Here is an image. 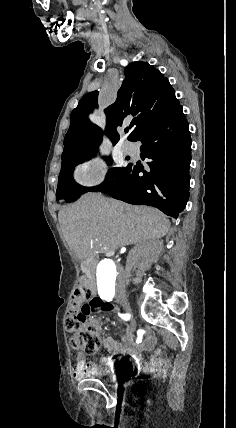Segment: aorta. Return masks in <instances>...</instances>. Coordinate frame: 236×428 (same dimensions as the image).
<instances>
[{
    "instance_id": "aorta-1",
    "label": "aorta",
    "mask_w": 236,
    "mask_h": 428,
    "mask_svg": "<svg viewBox=\"0 0 236 428\" xmlns=\"http://www.w3.org/2000/svg\"><path fill=\"white\" fill-rule=\"evenodd\" d=\"M118 278V266L112 259L106 258L99 262L96 270V281L100 295L112 294Z\"/></svg>"
}]
</instances>
